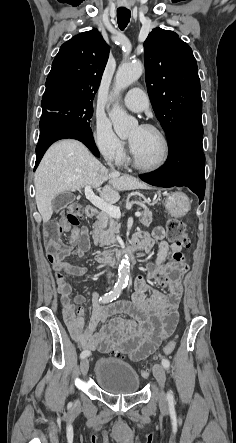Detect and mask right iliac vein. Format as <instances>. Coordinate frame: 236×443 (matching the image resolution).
<instances>
[{"instance_id":"1","label":"right iliac vein","mask_w":236,"mask_h":443,"mask_svg":"<svg viewBox=\"0 0 236 443\" xmlns=\"http://www.w3.org/2000/svg\"><path fill=\"white\" fill-rule=\"evenodd\" d=\"M88 370H89V361H88V359L84 358V359H82V361L80 363L81 374L83 376H86L88 373Z\"/></svg>"}]
</instances>
